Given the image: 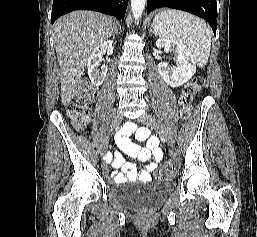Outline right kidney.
<instances>
[{"label":"right kidney","mask_w":257,"mask_h":237,"mask_svg":"<svg viewBox=\"0 0 257 237\" xmlns=\"http://www.w3.org/2000/svg\"><path fill=\"white\" fill-rule=\"evenodd\" d=\"M113 49H114L113 41L112 40L105 41L100 45H98L88 58V61H87L88 75L91 82L96 86H100L103 83L107 73V67L103 66L101 67V69H98V67L100 66V62L102 61V55L105 52H107V54L109 55L112 54Z\"/></svg>","instance_id":"1"}]
</instances>
